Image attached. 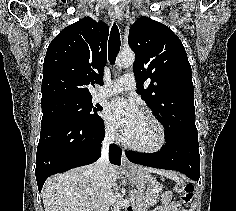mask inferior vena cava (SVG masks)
Returning <instances> with one entry per match:
<instances>
[{
  "label": "inferior vena cava",
  "mask_w": 236,
  "mask_h": 211,
  "mask_svg": "<svg viewBox=\"0 0 236 211\" xmlns=\"http://www.w3.org/2000/svg\"><path fill=\"white\" fill-rule=\"evenodd\" d=\"M114 138L115 134L113 130H109L106 132L105 139L102 143L101 158H99L93 166L97 182L100 186H102V191L104 193L102 200H100L95 207L96 211H108L109 209L111 186L107 182V172L110 166L108 160V148L109 144L114 141Z\"/></svg>",
  "instance_id": "602c4592"
}]
</instances>
